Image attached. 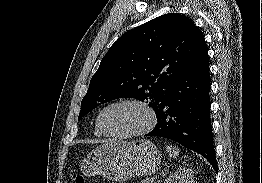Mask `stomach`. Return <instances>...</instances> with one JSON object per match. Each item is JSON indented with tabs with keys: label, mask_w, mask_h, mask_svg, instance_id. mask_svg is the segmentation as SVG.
<instances>
[{
	"label": "stomach",
	"mask_w": 262,
	"mask_h": 183,
	"mask_svg": "<svg viewBox=\"0 0 262 183\" xmlns=\"http://www.w3.org/2000/svg\"><path fill=\"white\" fill-rule=\"evenodd\" d=\"M160 163L161 153L149 140L110 139L84 158L80 171L85 177L101 175L122 182L135 176L151 175L159 169Z\"/></svg>",
	"instance_id": "stomach-1"
}]
</instances>
